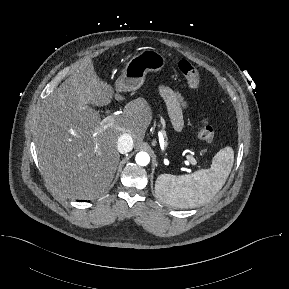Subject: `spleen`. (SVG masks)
<instances>
[{"instance_id": "spleen-1", "label": "spleen", "mask_w": 289, "mask_h": 289, "mask_svg": "<svg viewBox=\"0 0 289 289\" xmlns=\"http://www.w3.org/2000/svg\"><path fill=\"white\" fill-rule=\"evenodd\" d=\"M234 163V151L227 146L218 151L210 169L191 175L161 174L155 183L157 196L178 208H194L210 201L225 184Z\"/></svg>"}]
</instances>
